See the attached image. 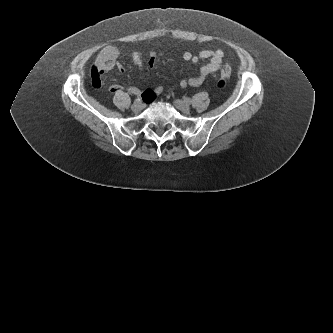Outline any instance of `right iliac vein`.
Returning a JSON list of instances; mask_svg holds the SVG:
<instances>
[{
	"label": "right iliac vein",
	"instance_id": "right-iliac-vein-1",
	"mask_svg": "<svg viewBox=\"0 0 333 333\" xmlns=\"http://www.w3.org/2000/svg\"><path fill=\"white\" fill-rule=\"evenodd\" d=\"M144 108V105L141 102H134L131 109L133 112L138 113Z\"/></svg>",
	"mask_w": 333,
	"mask_h": 333
}]
</instances>
